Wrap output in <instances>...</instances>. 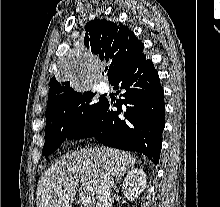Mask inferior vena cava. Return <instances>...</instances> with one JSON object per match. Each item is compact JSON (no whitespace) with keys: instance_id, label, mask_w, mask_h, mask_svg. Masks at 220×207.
I'll return each instance as SVG.
<instances>
[{"instance_id":"602c4592","label":"inferior vena cava","mask_w":220,"mask_h":207,"mask_svg":"<svg viewBox=\"0 0 220 207\" xmlns=\"http://www.w3.org/2000/svg\"><path fill=\"white\" fill-rule=\"evenodd\" d=\"M113 186L112 177L104 175L101 179L99 189L97 191L96 207H110L112 203L111 187Z\"/></svg>"}]
</instances>
